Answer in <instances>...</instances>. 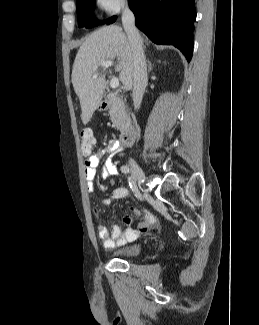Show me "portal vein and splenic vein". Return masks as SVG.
Masks as SVG:
<instances>
[{"label":"portal vein and splenic vein","mask_w":259,"mask_h":325,"mask_svg":"<svg viewBox=\"0 0 259 325\" xmlns=\"http://www.w3.org/2000/svg\"><path fill=\"white\" fill-rule=\"evenodd\" d=\"M113 65V61H111V60H107V61H105V62H103L102 63V67L103 68H108V67H111ZM98 77V74H94L93 75V78L94 79H96ZM119 86V80H118V78H112L111 79V81H110V87L111 88H113V89H115V88H117Z\"/></svg>","instance_id":"18ae733b"}]
</instances>
